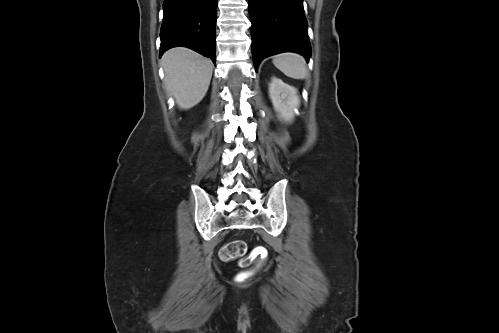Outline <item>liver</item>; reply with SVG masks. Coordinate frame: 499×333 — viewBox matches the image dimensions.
Instances as JSON below:
<instances>
[{"label": "liver", "instance_id": "liver-1", "mask_svg": "<svg viewBox=\"0 0 499 333\" xmlns=\"http://www.w3.org/2000/svg\"><path fill=\"white\" fill-rule=\"evenodd\" d=\"M161 63L165 85L181 109H190L205 96L212 77L213 63L199 53L176 47L164 53Z\"/></svg>", "mask_w": 499, "mask_h": 333}]
</instances>
